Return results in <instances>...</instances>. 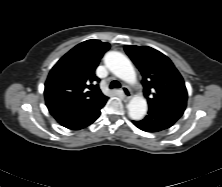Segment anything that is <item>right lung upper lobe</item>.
I'll return each mask as SVG.
<instances>
[{
  "instance_id": "cb5924a9",
  "label": "right lung upper lobe",
  "mask_w": 222,
  "mask_h": 187,
  "mask_svg": "<svg viewBox=\"0 0 222 187\" xmlns=\"http://www.w3.org/2000/svg\"><path fill=\"white\" fill-rule=\"evenodd\" d=\"M109 47V43L100 40H87L66 53L46 80V104L88 109L105 103L108 97L99 89L95 69Z\"/></svg>"
}]
</instances>
